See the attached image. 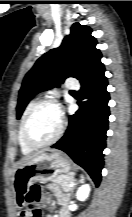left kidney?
<instances>
[{
	"label": "left kidney",
	"instance_id": "left-kidney-1",
	"mask_svg": "<svg viewBox=\"0 0 132 217\" xmlns=\"http://www.w3.org/2000/svg\"><path fill=\"white\" fill-rule=\"evenodd\" d=\"M90 190L89 184L82 185L76 192V198L80 201H85L89 196Z\"/></svg>",
	"mask_w": 132,
	"mask_h": 217
}]
</instances>
